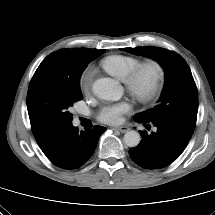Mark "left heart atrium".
I'll list each match as a JSON object with an SVG mask.
<instances>
[{
	"label": "left heart atrium",
	"mask_w": 215,
	"mask_h": 215,
	"mask_svg": "<svg viewBox=\"0 0 215 215\" xmlns=\"http://www.w3.org/2000/svg\"><path fill=\"white\" fill-rule=\"evenodd\" d=\"M130 109L131 105L128 101L106 104L100 109L98 119L107 124H118Z\"/></svg>",
	"instance_id": "39dd6f15"
}]
</instances>
